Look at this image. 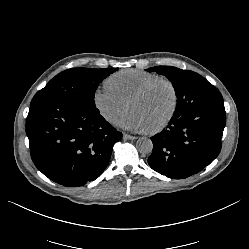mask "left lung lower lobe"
Segmentation results:
<instances>
[{"instance_id": "1", "label": "left lung lower lobe", "mask_w": 249, "mask_h": 249, "mask_svg": "<svg viewBox=\"0 0 249 249\" xmlns=\"http://www.w3.org/2000/svg\"><path fill=\"white\" fill-rule=\"evenodd\" d=\"M225 124L224 104L172 117L166 129L151 137L153 150L148 164L156 172L174 179L198 173L218 156Z\"/></svg>"}]
</instances>
